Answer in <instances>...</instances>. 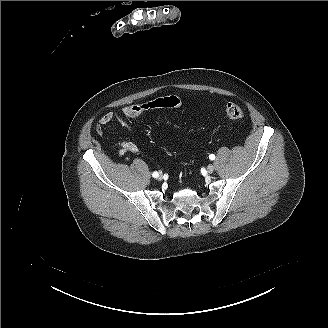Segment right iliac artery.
I'll return each instance as SVG.
<instances>
[{"instance_id":"right-iliac-artery-1","label":"right iliac artery","mask_w":328,"mask_h":328,"mask_svg":"<svg viewBox=\"0 0 328 328\" xmlns=\"http://www.w3.org/2000/svg\"><path fill=\"white\" fill-rule=\"evenodd\" d=\"M158 172H153V174H152V176L154 177V178H157L158 177Z\"/></svg>"}]
</instances>
